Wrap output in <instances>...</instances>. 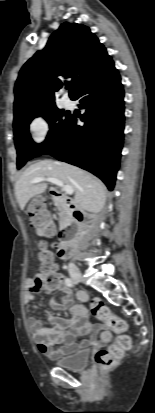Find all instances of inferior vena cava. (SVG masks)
Returning <instances> with one entry per match:
<instances>
[{
    "label": "inferior vena cava",
    "mask_w": 155,
    "mask_h": 413,
    "mask_svg": "<svg viewBox=\"0 0 155 413\" xmlns=\"http://www.w3.org/2000/svg\"><path fill=\"white\" fill-rule=\"evenodd\" d=\"M69 271L70 272H78V269L73 263H70L69 264Z\"/></svg>",
    "instance_id": "602c4592"
}]
</instances>
